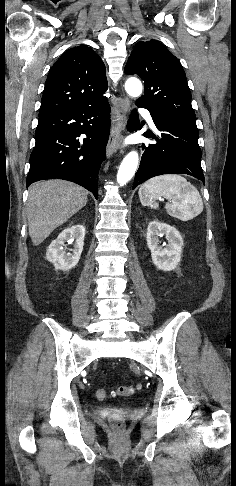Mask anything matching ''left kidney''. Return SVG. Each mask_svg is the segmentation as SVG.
<instances>
[{
    "mask_svg": "<svg viewBox=\"0 0 236 486\" xmlns=\"http://www.w3.org/2000/svg\"><path fill=\"white\" fill-rule=\"evenodd\" d=\"M165 235L168 240L166 247L159 245L158 236ZM146 241L151 251L153 264L162 271L174 270L181 259L183 239L179 231L158 220L148 224Z\"/></svg>",
    "mask_w": 236,
    "mask_h": 486,
    "instance_id": "5707ae66",
    "label": "left kidney"
}]
</instances>
